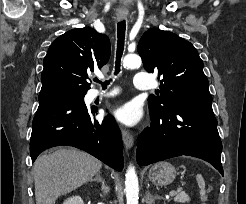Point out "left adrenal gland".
<instances>
[{
	"mask_svg": "<svg viewBox=\"0 0 246 204\" xmlns=\"http://www.w3.org/2000/svg\"><path fill=\"white\" fill-rule=\"evenodd\" d=\"M146 203L147 204H151L156 198H162L159 195H151L149 192L146 193Z\"/></svg>",
	"mask_w": 246,
	"mask_h": 204,
	"instance_id": "left-adrenal-gland-1",
	"label": "left adrenal gland"
}]
</instances>
